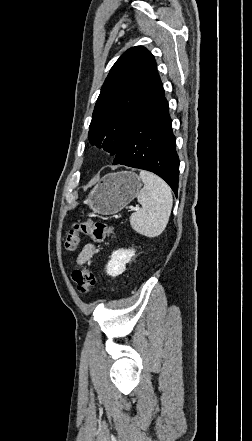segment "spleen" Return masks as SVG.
<instances>
[{
  "instance_id": "3e777b00",
  "label": "spleen",
  "mask_w": 252,
  "mask_h": 441,
  "mask_svg": "<svg viewBox=\"0 0 252 441\" xmlns=\"http://www.w3.org/2000/svg\"><path fill=\"white\" fill-rule=\"evenodd\" d=\"M139 176L144 183L138 195L142 208L130 216V224L139 234L154 238L168 224L173 204L171 189L153 173L141 170Z\"/></svg>"
}]
</instances>
